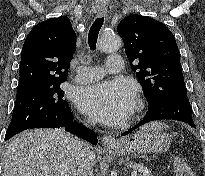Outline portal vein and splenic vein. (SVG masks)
<instances>
[{
    "label": "portal vein and splenic vein",
    "mask_w": 205,
    "mask_h": 176,
    "mask_svg": "<svg viewBox=\"0 0 205 176\" xmlns=\"http://www.w3.org/2000/svg\"><path fill=\"white\" fill-rule=\"evenodd\" d=\"M132 176H137V172L133 171V173L131 174Z\"/></svg>",
    "instance_id": "portal-vein-and-splenic-vein-1"
}]
</instances>
